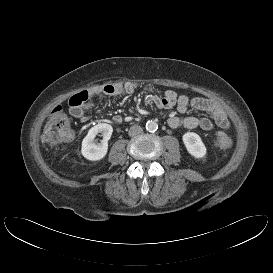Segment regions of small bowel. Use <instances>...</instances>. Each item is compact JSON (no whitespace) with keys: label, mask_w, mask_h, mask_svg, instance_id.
<instances>
[{"label":"small bowel","mask_w":273,"mask_h":273,"mask_svg":"<svg viewBox=\"0 0 273 273\" xmlns=\"http://www.w3.org/2000/svg\"><path fill=\"white\" fill-rule=\"evenodd\" d=\"M139 84L133 82H127L124 84H110L104 87L92 90L86 101L79 106H74L69 102V110L73 117L81 122H86L88 117L86 112L90 109L96 100L101 99L104 96L118 97L122 94H132ZM143 88L150 92L146 98V103L149 105H155L161 109H171L176 107L180 114H184L189 108L197 111L207 113V117H194V116H171L168 118V125L172 128L184 127L187 129L201 128L203 130H212L215 126L227 129L230 127V122L225 110L215 101L204 98L195 97L189 99L186 95H177L172 90H167L163 95L153 93V89L150 86H143ZM114 122L119 123L121 121L120 116L114 117Z\"/></svg>","instance_id":"c3829d8e"}]
</instances>
